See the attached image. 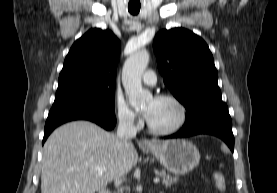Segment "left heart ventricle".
Returning a JSON list of instances; mask_svg holds the SVG:
<instances>
[{
	"mask_svg": "<svg viewBox=\"0 0 277 193\" xmlns=\"http://www.w3.org/2000/svg\"><path fill=\"white\" fill-rule=\"evenodd\" d=\"M150 110L148 121L158 129H167L174 126L179 119V110L177 106L168 100H157L155 98L148 100L144 107Z\"/></svg>",
	"mask_w": 277,
	"mask_h": 193,
	"instance_id": "b2bd125f",
	"label": "left heart ventricle"
}]
</instances>
